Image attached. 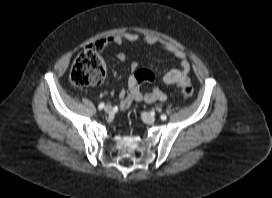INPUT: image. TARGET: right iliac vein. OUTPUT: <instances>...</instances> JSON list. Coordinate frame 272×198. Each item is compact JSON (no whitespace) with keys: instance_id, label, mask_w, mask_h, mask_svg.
Segmentation results:
<instances>
[{"instance_id":"obj_1","label":"right iliac vein","mask_w":272,"mask_h":198,"mask_svg":"<svg viewBox=\"0 0 272 198\" xmlns=\"http://www.w3.org/2000/svg\"><path fill=\"white\" fill-rule=\"evenodd\" d=\"M104 111H105L106 113H111V111H112V106H111V105H106V106L104 107Z\"/></svg>"}]
</instances>
